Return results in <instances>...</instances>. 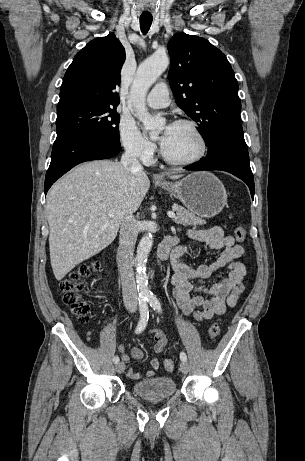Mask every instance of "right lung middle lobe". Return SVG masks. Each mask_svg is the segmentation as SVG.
I'll use <instances>...</instances> for the list:
<instances>
[{"label": "right lung middle lobe", "mask_w": 305, "mask_h": 461, "mask_svg": "<svg viewBox=\"0 0 305 461\" xmlns=\"http://www.w3.org/2000/svg\"><path fill=\"white\" fill-rule=\"evenodd\" d=\"M117 106L81 102L57 108L56 140L91 136L120 145Z\"/></svg>", "instance_id": "1"}]
</instances>
